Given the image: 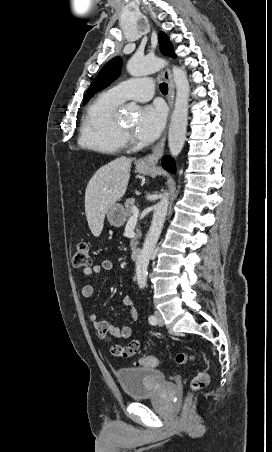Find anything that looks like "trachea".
<instances>
[{"label": "trachea", "mask_w": 272, "mask_h": 452, "mask_svg": "<svg viewBox=\"0 0 272 452\" xmlns=\"http://www.w3.org/2000/svg\"><path fill=\"white\" fill-rule=\"evenodd\" d=\"M159 87H160V91L163 94H167L168 93V85L166 83H161Z\"/></svg>", "instance_id": "obj_1"}]
</instances>
